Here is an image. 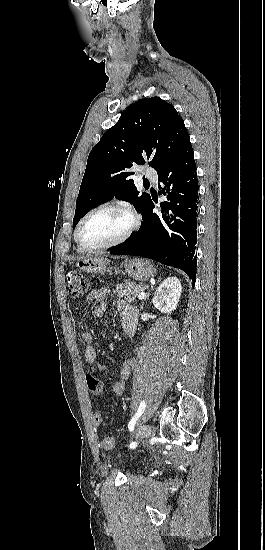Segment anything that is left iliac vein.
<instances>
[{
	"label": "left iliac vein",
	"mask_w": 265,
	"mask_h": 550,
	"mask_svg": "<svg viewBox=\"0 0 265 550\" xmlns=\"http://www.w3.org/2000/svg\"><path fill=\"white\" fill-rule=\"evenodd\" d=\"M152 434V430L149 425H143L140 432H139V438L140 439H148Z\"/></svg>",
	"instance_id": "obj_1"
}]
</instances>
